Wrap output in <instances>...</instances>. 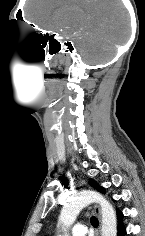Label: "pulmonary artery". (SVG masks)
Wrapping results in <instances>:
<instances>
[{"label": "pulmonary artery", "mask_w": 145, "mask_h": 236, "mask_svg": "<svg viewBox=\"0 0 145 236\" xmlns=\"http://www.w3.org/2000/svg\"><path fill=\"white\" fill-rule=\"evenodd\" d=\"M87 228L83 224H77L71 229L72 236H85Z\"/></svg>", "instance_id": "e3ab8cb5"}]
</instances>
